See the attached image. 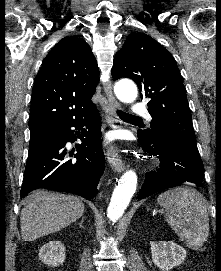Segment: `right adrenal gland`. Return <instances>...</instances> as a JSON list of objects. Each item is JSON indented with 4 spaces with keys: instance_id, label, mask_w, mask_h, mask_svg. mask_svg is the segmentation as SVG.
<instances>
[{
    "instance_id": "obj_1",
    "label": "right adrenal gland",
    "mask_w": 221,
    "mask_h": 271,
    "mask_svg": "<svg viewBox=\"0 0 221 271\" xmlns=\"http://www.w3.org/2000/svg\"><path fill=\"white\" fill-rule=\"evenodd\" d=\"M83 221H84V217H82L81 223H79L80 227H83V225H82Z\"/></svg>"
}]
</instances>
